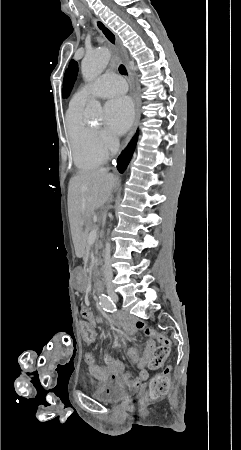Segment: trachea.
<instances>
[{"label": "trachea", "mask_w": 241, "mask_h": 450, "mask_svg": "<svg viewBox=\"0 0 241 450\" xmlns=\"http://www.w3.org/2000/svg\"><path fill=\"white\" fill-rule=\"evenodd\" d=\"M118 70H119V73H121L122 75H127V70L124 65H119Z\"/></svg>", "instance_id": "obj_1"}]
</instances>
